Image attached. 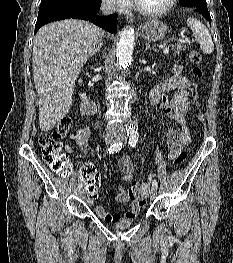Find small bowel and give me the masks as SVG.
Instances as JSON below:
<instances>
[{
	"mask_svg": "<svg viewBox=\"0 0 233 263\" xmlns=\"http://www.w3.org/2000/svg\"><path fill=\"white\" fill-rule=\"evenodd\" d=\"M182 65L174 67L171 76L163 78L151 91L150 103L152 106L159 107L161 111L177 124V129H170L167 132V143L169 146L168 159L173 160L179 153L184 152L188 145L191 132L186 125V113L189 107L188 92L191 81L181 74ZM89 128H79L69 136L70 143L65 146V151L71 153L75 146H79L88 152L87 140ZM121 177L128 184V188L119 187L115 200L119 203L131 202L130 210L122 216L115 212L110 213L103 206H95V213L105 222L114 223L123 217L135 216L145 204V198L149 192V184L139 183L135 179V167L128 155H122L118 161ZM95 171L93 165L85 164L80 167L81 171ZM89 197V195H88ZM90 204L94 199H89Z\"/></svg>",
	"mask_w": 233,
	"mask_h": 263,
	"instance_id": "1",
	"label": "small bowel"
}]
</instances>
